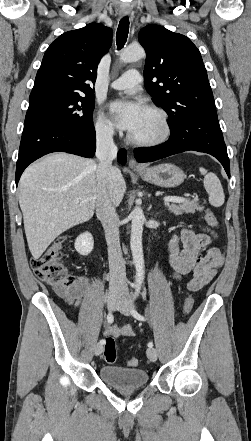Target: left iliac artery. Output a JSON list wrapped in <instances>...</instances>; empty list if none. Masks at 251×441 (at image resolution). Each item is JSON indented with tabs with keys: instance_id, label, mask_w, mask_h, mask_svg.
Wrapping results in <instances>:
<instances>
[{
	"instance_id": "1",
	"label": "left iliac artery",
	"mask_w": 251,
	"mask_h": 441,
	"mask_svg": "<svg viewBox=\"0 0 251 441\" xmlns=\"http://www.w3.org/2000/svg\"><path fill=\"white\" fill-rule=\"evenodd\" d=\"M139 294V290L136 291L135 293V298L138 296ZM131 314L133 315L134 318L140 320V321H145L146 318L144 316H142L141 314H139L136 310L132 309L131 310ZM148 347L152 348L153 347V342H149L148 343Z\"/></svg>"
}]
</instances>
